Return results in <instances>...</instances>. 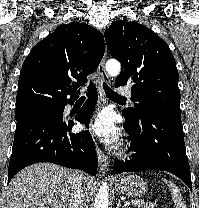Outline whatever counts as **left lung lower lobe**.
I'll return each instance as SVG.
<instances>
[{
    "mask_svg": "<svg viewBox=\"0 0 199 208\" xmlns=\"http://www.w3.org/2000/svg\"><path fill=\"white\" fill-rule=\"evenodd\" d=\"M123 115L126 119L123 127L135 153L131 160L116 161L114 173L164 170L178 176L192 190L181 113L144 111L139 120Z\"/></svg>",
    "mask_w": 199,
    "mask_h": 208,
    "instance_id": "obj_1",
    "label": "left lung lower lobe"
}]
</instances>
